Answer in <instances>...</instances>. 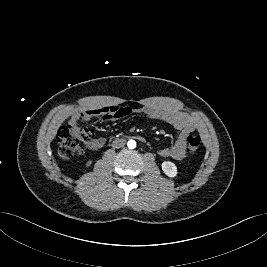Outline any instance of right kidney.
Returning a JSON list of instances; mask_svg holds the SVG:
<instances>
[{"instance_id": "obj_1", "label": "right kidney", "mask_w": 267, "mask_h": 267, "mask_svg": "<svg viewBox=\"0 0 267 267\" xmlns=\"http://www.w3.org/2000/svg\"><path fill=\"white\" fill-rule=\"evenodd\" d=\"M92 163V161H88L86 166H89Z\"/></svg>"}]
</instances>
